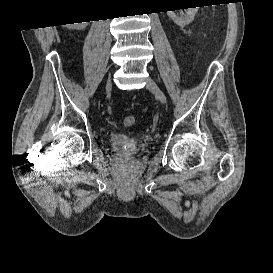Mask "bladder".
I'll use <instances>...</instances> for the list:
<instances>
[{"label":"bladder","mask_w":273,"mask_h":273,"mask_svg":"<svg viewBox=\"0 0 273 273\" xmlns=\"http://www.w3.org/2000/svg\"><path fill=\"white\" fill-rule=\"evenodd\" d=\"M143 145L142 140L124 132H115L110 137V148L127 156H134L139 153Z\"/></svg>","instance_id":"1"}]
</instances>
